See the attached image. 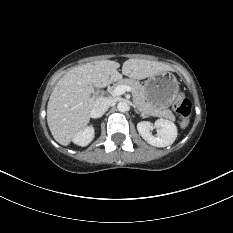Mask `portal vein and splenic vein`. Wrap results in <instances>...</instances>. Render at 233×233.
<instances>
[{"mask_svg": "<svg viewBox=\"0 0 233 233\" xmlns=\"http://www.w3.org/2000/svg\"><path fill=\"white\" fill-rule=\"evenodd\" d=\"M131 88L129 86H125V85H120L117 86L113 91L112 94L115 96H119L124 94L125 92H130Z\"/></svg>", "mask_w": 233, "mask_h": 233, "instance_id": "18ae733b", "label": "portal vein and splenic vein"}]
</instances>
